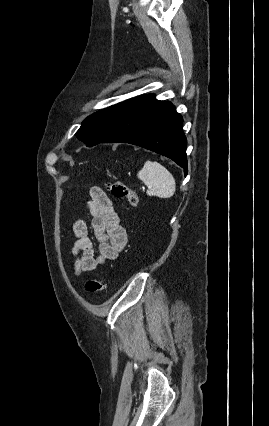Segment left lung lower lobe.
<instances>
[{"label":"left lung lower lobe","mask_w":269,"mask_h":426,"mask_svg":"<svg viewBox=\"0 0 269 426\" xmlns=\"http://www.w3.org/2000/svg\"><path fill=\"white\" fill-rule=\"evenodd\" d=\"M182 116L171 102L153 94L137 96L126 105L101 143H130L172 159L187 175L186 137Z\"/></svg>","instance_id":"0a47b994"}]
</instances>
